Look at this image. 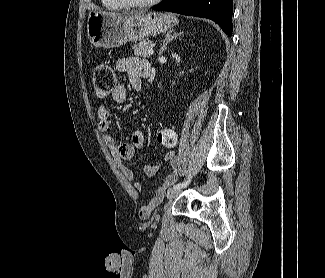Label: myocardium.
<instances>
[{"label":"myocardium","mask_w":325,"mask_h":278,"mask_svg":"<svg viewBox=\"0 0 325 278\" xmlns=\"http://www.w3.org/2000/svg\"><path fill=\"white\" fill-rule=\"evenodd\" d=\"M120 4H122L124 7L129 8H145L150 7L161 0H145V1H136V0H117Z\"/></svg>","instance_id":"obj_1"}]
</instances>
